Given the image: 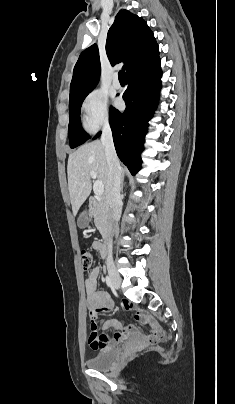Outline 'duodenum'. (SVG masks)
Instances as JSON below:
<instances>
[{
  "label": "duodenum",
  "mask_w": 235,
  "mask_h": 404,
  "mask_svg": "<svg viewBox=\"0 0 235 404\" xmlns=\"http://www.w3.org/2000/svg\"><path fill=\"white\" fill-rule=\"evenodd\" d=\"M97 204H98V200L96 198H91L89 200V212H90V214L94 213V210H95V207L97 206ZM108 244H109V237L105 236L103 238V253L106 252Z\"/></svg>",
  "instance_id": "410a0bca"
}]
</instances>
